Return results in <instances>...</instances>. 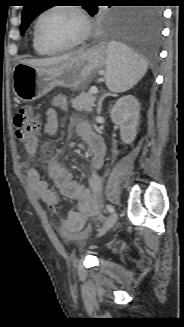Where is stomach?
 <instances>
[{"label":"stomach","mask_w":184,"mask_h":327,"mask_svg":"<svg viewBox=\"0 0 184 327\" xmlns=\"http://www.w3.org/2000/svg\"><path fill=\"white\" fill-rule=\"evenodd\" d=\"M107 63V46L98 43L72 58L49 67L18 63L13 69V92L23 102H32L60 86L81 89L98 75Z\"/></svg>","instance_id":"stomach-1"}]
</instances>
